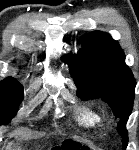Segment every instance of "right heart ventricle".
<instances>
[{
  "label": "right heart ventricle",
  "mask_w": 139,
  "mask_h": 150,
  "mask_svg": "<svg viewBox=\"0 0 139 150\" xmlns=\"http://www.w3.org/2000/svg\"><path fill=\"white\" fill-rule=\"evenodd\" d=\"M77 123L86 129H99L102 126V114L98 107L92 104H83L75 112Z\"/></svg>",
  "instance_id": "right-heart-ventricle-1"
}]
</instances>
